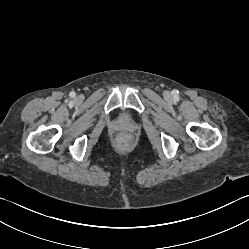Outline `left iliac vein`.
<instances>
[{
  "instance_id": "1",
  "label": "left iliac vein",
  "mask_w": 249,
  "mask_h": 249,
  "mask_svg": "<svg viewBox=\"0 0 249 249\" xmlns=\"http://www.w3.org/2000/svg\"><path fill=\"white\" fill-rule=\"evenodd\" d=\"M166 98L170 99V94L169 93L166 94Z\"/></svg>"
}]
</instances>
